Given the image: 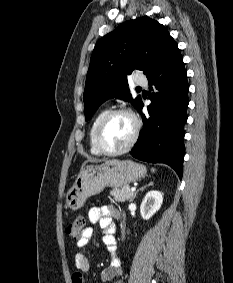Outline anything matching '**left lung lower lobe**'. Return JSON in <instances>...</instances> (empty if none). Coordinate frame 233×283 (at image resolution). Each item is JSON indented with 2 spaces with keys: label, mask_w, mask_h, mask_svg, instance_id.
Listing matches in <instances>:
<instances>
[{
  "label": "left lung lower lobe",
  "mask_w": 233,
  "mask_h": 283,
  "mask_svg": "<svg viewBox=\"0 0 233 283\" xmlns=\"http://www.w3.org/2000/svg\"><path fill=\"white\" fill-rule=\"evenodd\" d=\"M149 116H143V132L130 154L146 162L165 163L182 178L184 124L187 121V73L178 45L148 75ZM143 103L137 108L142 111Z\"/></svg>",
  "instance_id": "1"
}]
</instances>
